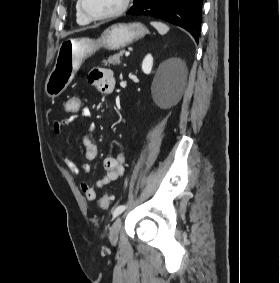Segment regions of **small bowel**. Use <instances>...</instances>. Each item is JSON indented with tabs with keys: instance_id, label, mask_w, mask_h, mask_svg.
<instances>
[{
	"instance_id": "c3829d8e",
	"label": "small bowel",
	"mask_w": 280,
	"mask_h": 283,
	"mask_svg": "<svg viewBox=\"0 0 280 283\" xmlns=\"http://www.w3.org/2000/svg\"><path fill=\"white\" fill-rule=\"evenodd\" d=\"M90 82L98 87L102 92H109L111 91L114 79L113 73L110 69H97L90 73L89 75ZM65 110V106H64ZM71 116L55 120L53 122V131L55 133H61L63 128L68 123H71L80 118H89L90 117V110L89 108H83L82 112H66ZM77 114V117L73 116ZM81 143L84 147V158L87 162L78 164L74 160L65 158L63 160L65 166L72 172L73 174H87L90 171V165L88 162L93 161L97 157V146L92 139V134L90 131H85L81 136ZM127 158L124 153L119 152L115 156L106 157L102 162V167L105 172L104 176L98 179L95 183V186H91L87 182H81L80 189L82 193L88 200H95L96 199V188H102L107 186L108 184L116 181L117 179L121 178L125 172V163Z\"/></svg>"
}]
</instances>
